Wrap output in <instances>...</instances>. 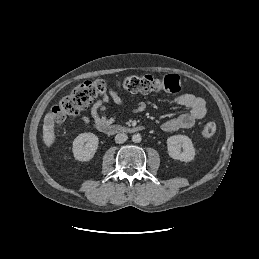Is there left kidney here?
Returning a JSON list of instances; mask_svg holds the SVG:
<instances>
[{"mask_svg": "<svg viewBox=\"0 0 259 259\" xmlns=\"http://www.w3.org/2000/svg\"><path fill=\"white\" fill-rule=\"evenodd\" d=\"M167 149L171 158L182 162H190L195 157V149L192 141L185 135H174L169 137L167 139Z\"/></svg>", "mask_w": 259, "mask_h": 259, "instance_id": "1", "label": "left kidney"}]
</instances>
